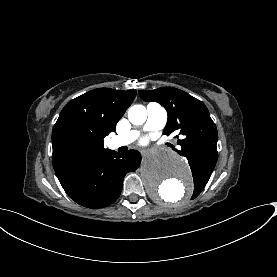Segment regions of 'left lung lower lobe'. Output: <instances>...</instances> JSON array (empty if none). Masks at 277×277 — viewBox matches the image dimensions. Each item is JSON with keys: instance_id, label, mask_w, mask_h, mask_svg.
<instances>
[{"instance_id": "1", "label": "left lung lower lobe", "mask_w": 277, "mask_h": 277, "mask_svg": "<svg viewBox=\"0 0 277 277\" xmlns=\"http://www.w3.org/2000/svg\"><path fill=\"white\" fill-rule=\"evenodd\" d=\"M178 153L187 158L192 172L199 169H208L213 171L218 157L217 145L213 143H206L197 147L186 148Z\"/></svg>"}]
</instances>
